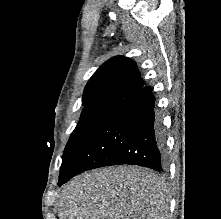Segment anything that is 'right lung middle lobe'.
I'll return each mask as SVG.
<instances>
[{"instance_id": "obj_1", "label": "right lung middle lobe", "mask_w": 221, "mask_h": 219, "mask_svg": "<svg viewBox=\"0 0 221 219\" xmlns=\"http://www.w3.org/2000/svg\"><path fill=\"white\" fill-rule=\"evenodd\" d=\"M119 103L120 101L116 100H103L84 104L80 120L65 147L63 161Z\"/></svg>"}]
</instances>
